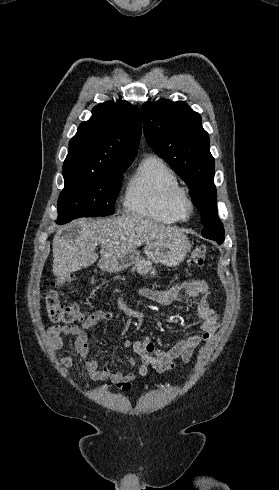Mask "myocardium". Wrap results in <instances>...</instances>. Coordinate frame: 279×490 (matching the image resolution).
<instances>
[{
	"label": "myocardium",
	"instance_id": "1",
	"mask_svg": "<svg viewBox=\"0 0 279 490\" xmlns=\"http://www.w3.org/2000/svg\"><path fill=\"white\" fill-rule=\"evenodd\" d=\"M171 207L181 220L188 219L194 210V203L187 188L180 186L172 195Z\"/></svg>",
	"mask_w": 279,
	"mask_h": 490
}]
</instances>
